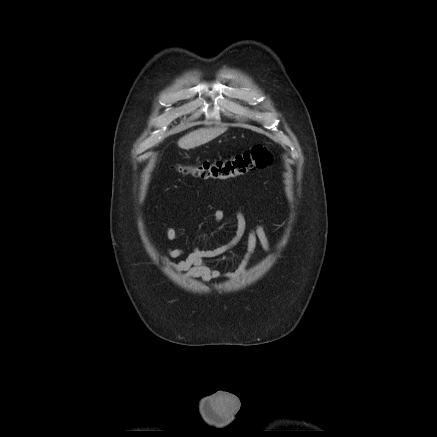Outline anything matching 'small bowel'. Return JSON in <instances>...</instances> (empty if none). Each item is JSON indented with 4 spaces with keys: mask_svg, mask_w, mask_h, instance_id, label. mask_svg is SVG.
Wrapping results in <instances>:
<instances>
[{
    "mask_svg": "<svg viewBox=\"0 0 437 437\" xmlns=\"http://www.w3.org/2000/svg\"><path fill=\"white\" fill-rule=\"evenodd\" d=\"M225 214L221 209L214 212L213 220L219 223L224 220ZM246 232V219L242 212L236 213V229L232 238L225 244L214 249H204L196 246L182 260L176 261L184 255V249L181 246L168 248L164 255L160 256V260L169 269L180 273L186 278H198L204 282H210L219 279L235 280L241 277L251 261L257 245H260L266 252L270 251L271 246L266 232L262 225L253 227L247 235L245 253L238 265L233 271H221L207 263V259L219 257L232 248L236 247ZM165 235L169 241H177L178 234L172 227L165 229Z\"/></svg>",
    "mask_w": 437,
    "mask_h": 437,
    "instance_id": "c3829d8e",
    "label": "small bowel"
}]
</instances>
